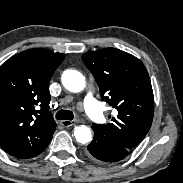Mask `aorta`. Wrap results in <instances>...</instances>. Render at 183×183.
<instances>
[{
  "mask_svg": "<svg viewBox=\"0 0 183 183\" xmlns=\"http://www.w3.org/2000/svg\"><path fill=\"white\" fill-rule=\"evenodd\" d=\"M63 86L74 93H78L85 88L86 82L84 76L76 70H66L61 78ZM74 136L77 142L85 144L91 140V130L85 125L77 126L74 130Z\"/></svg>",
  "mask_w": 183,
  "mask_h": 183,
  "instance_id": "obj_1",
  "label": "aorta"
}]
</instances>
